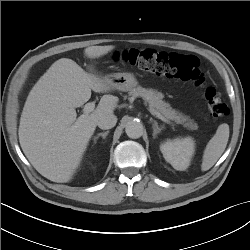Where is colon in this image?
I'll use <instances>...</instances> for the list:
<instances>
[{"mask_svg": "<svg viewBox=\"0 0 250 250\" xmlns=\"http://www.w3.org/2000/svg\"><path fill=\"white\" fill-rule=\"evenodd\" d=\"M119 60L146 72L167 78L192 81L201 86L204 74L199 60L193 55L159 52L150 49H128L119 55ZM208 110L213 117L225 118L229 115L227 104L214 88H207L204 93Z\"/></svg>", "mask_w": 250, "mask_h": 250, "instance_id": "obj_1", "label": "colon"}]
</instances>
